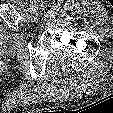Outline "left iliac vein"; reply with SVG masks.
Wrapping results in <instances>:
<instances>
[{
    "mask_svg": "<svg viewBox=\"0 0 113 113\" xmlns=\"http://www.w3.org/2000/svg\"><path fill=\"white\" fill-rule=\"evenodd\" d=\"M32 8H36V1H31Z\"/></svg>",
    "mask_w": 113,
    "mask_h": 113,
    "instance_id": "1",
    "label": "left iliac vein"
}]
</instances>
